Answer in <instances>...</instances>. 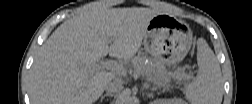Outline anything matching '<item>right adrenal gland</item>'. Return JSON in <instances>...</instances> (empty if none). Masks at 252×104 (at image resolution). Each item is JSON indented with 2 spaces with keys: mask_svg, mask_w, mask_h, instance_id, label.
<instances>
[{
  "mask_svg": "<svg viewBox=\"0 0 252 104\" xmlns=\"http://www.w3.org/2000/svg\"><path fill=\"white\" fill-rule=\"evenodd\" d=\"M105 97H113V94H109V93L104 94V95L101 97L100 103H102V101H103V99H104Z\"/></svg>",
  "mask_w": 252,
  "mask_h": 104,
  "instance_id": "1",
  "label": "right adrenal gland"
}]
</instances>
